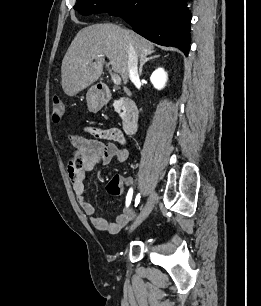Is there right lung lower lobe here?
<instances>
[{
  "instance_id": "right-lung-lower-lobe-1",
  "label": "right lung lower lobe",
  "mask_w": 261,
  "mask_h": 306,
  "mask_svg": "<svg viewBox=\"0 0 261 306\" xmlns=\"http://www.w3.org/2000/svg\"><path fill=\"white\" fill-rule=\"evenodd\" d=\"M188 0H129L108 12L122 17L135 32L163 46L179 48L187 56L191 15Z\"/></svg>"
}]
</instances>
